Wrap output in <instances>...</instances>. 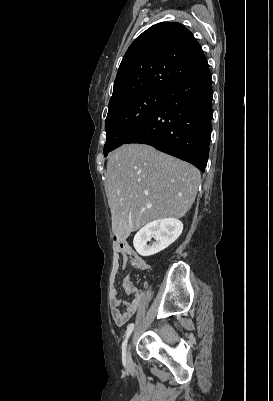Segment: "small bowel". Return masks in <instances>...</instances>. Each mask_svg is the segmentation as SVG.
<instances>
[{
  "instance_id": "small-bowel-1",
  "label": "small bowel",
  "mask_w": 273,
  "mask_h": 401,
  "mask_svg": "<svg viewBox=\"0 0 273 401\" xmlns=\"http://www.w3.org/2000/svg\"><path fill=\"white\" fill-rule=\"evenodd\" d=\"M120 249V250H119ZM139 261H143L137 256L132 247L126 243L118 244L113 254V261L110 272V295H111V314L117 326H124L137 313L144 299L151 297L149 290H138V285L134 284L130 276H125L123 284L126 292L130 293L131 300L121 302L116 288L117 276L121 268L128 264L137 267Z\"/></svg>"
}]
</instances>
